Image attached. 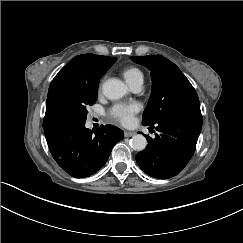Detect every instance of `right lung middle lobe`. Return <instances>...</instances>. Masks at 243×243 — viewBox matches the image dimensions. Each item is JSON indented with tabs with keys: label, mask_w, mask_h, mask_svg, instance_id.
<instances>
[{
	"label": "right lung middle lobe",
	"mask_w": 243,
	"mask_h": 243,
	"mask_svg": "<svg viewBox=\"0 0 243 243\" xmlns=\"http://www.w3.org/2000/svg\"><path fill=\"white\" fill-rule=\"evenodd\" d=\"M99 80L70 78L59 82L48 94L43 128L57 124L85 121L87 107L97 100Z\"/></svg>",
	"instance_id": "right-lung-middle-lobe-1"
}]
</instances>
